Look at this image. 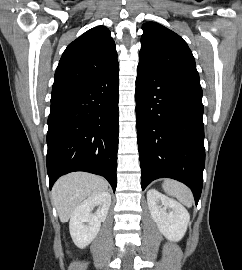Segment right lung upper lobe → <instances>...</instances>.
I'll use <instances>...</instances> for the list:
<instances>
[{"label":"right lung upper lobe","instance_id":"1","mask_svg":"<svg viewBox=\"0 0 242 270\" xmlns=\"http://www.w3.org/2000/svg\"><path fill=\"white\" fill-rule=\"evenodd\" d=\"M118 68L115 43L108 28H92L70 43L57 66L51 96L75 89Z\"/></svg>","mask_w":242,"mask_h":270}]
</instances>
